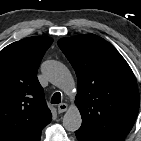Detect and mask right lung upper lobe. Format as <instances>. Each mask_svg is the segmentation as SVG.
<instances>
[{"label":"right lung upper lobe","instance_id":"right-lung-upper-lobe-1","mask_svg":"<svg viewBox=\"0 0 141 141\" xmlns=\"http://www.w3.org/2000/svg\"><path fill=\"white\" fill-rule=\"evenodd\" d=\"M52 42L30 37L0 51V141H40L51 122L37 70Z\"/></svg>","mask_w":141,"mask_h":141}]
</instances>
